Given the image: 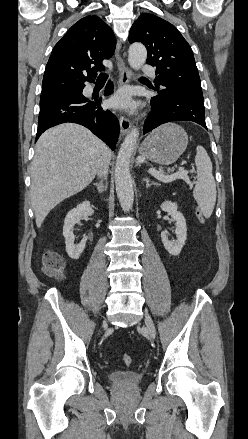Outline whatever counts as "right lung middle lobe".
Here are the masks:
<instances>
[{"label":"right lung middle lobe","mask_w":248,"mask_h":439,"mask_svg":"<svg viewBox=\"0 0 248 439\" xmlns=\"http://www.w3.org/2000/svg\"><path fill=\"white\" fill-rule=\"evenodd\" d=\"M79 90V89H78ZM78 90H74V91H70V92H66V93H62V94H57V95H52V96H44V97H41V99H40V106L41 105H44V104H46V103H48V102H51V101H53V100H55V99H58V98H60V97H63V96H66V95H68V94H71V93H73V92H76V91H78Z\"/></svg>","instance_id":"1"}]
</instances>
